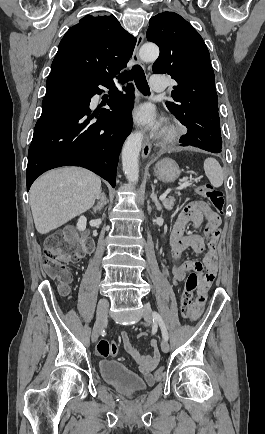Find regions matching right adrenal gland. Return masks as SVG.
Instances as JSON below:
<instances>
[{
  "label": "right adrenal gland",
  "mask_w": 265,
  "mask_h": 434,
  "mask_svg": "<svg viewBox=\"0 0 265 434\" xmlns=\"http://www.w3.org/2000/svg\"><path fill=\"white\" fill-rule=\"evenodd\" d=\"M97 200H100L99 204H102L101 208H103L104 204H107L108 200L104 194V192H100L99 196H96ZM101 208H99V206H95V208H93L94 210V214H97V210H101Z\"/></svg>",
  "instance_id": "right-adrenal-gland-1"
}]
</instances>
